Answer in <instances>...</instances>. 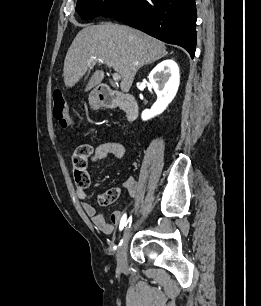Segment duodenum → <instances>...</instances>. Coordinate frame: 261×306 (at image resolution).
Returning a JSON list of instances; mask_svg holds the SVG:
<instances>
[{"instance_id": "1", "label": "duodenum", "mask_w": 261, "mask_h": 306, "mask_svg": "<svg viewBox=\"0 0 261 306\" xmlns=\"http://www.w3.org/2000/svg\"><path fill=\"white\" fill-rule=\"evenodd\" d=\"M96 99L102 107H119L125 113L128 121H133L138 116V103L132 95L115 92L102 84L97 88Z\"/></svg>"}]
</instances>
